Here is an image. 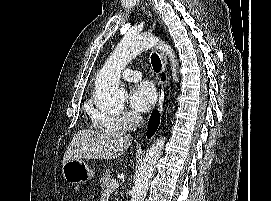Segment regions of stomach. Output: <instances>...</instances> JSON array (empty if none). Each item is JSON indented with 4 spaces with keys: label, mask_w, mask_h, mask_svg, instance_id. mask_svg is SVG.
<instances>
[{
    "label": "stomach",
    "mask_w": 271,
    "mask_h": 201,
    "mask_svg": "<svg viewBox=\"0 0 271 201\" xmlns=\"http://www.w3.org/2000/svg\"><path fill=\"white\" fill-rule=\"evenodd\" d=\"M62 174L69 183L81 184L91 180L95 172L83 160H72L63 164Z\"/></svg>",
    "instance_id": "stomach-1"
}]
</instances>
